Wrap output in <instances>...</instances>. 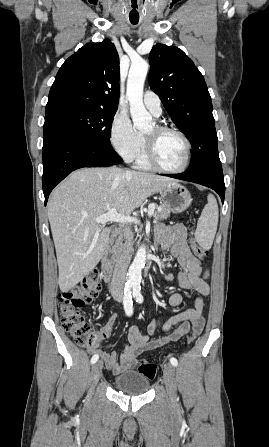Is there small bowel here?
Returning <instances> with one entry per match:
<instances>
[{"instance_id":"small-bowel-1","label":"small bowel","mask_w":269,"mask_h":447,"mask_svg":"<svg viewBox=\"0 0 269 447\" xmlns=\"http://www.w3.org/2000/svg\"><path fill=\"white\" fill-rule=\"evenodd\" d=\"M156 239L162 249L170 248L171 256L178 259L181 271L176 278L177 284L182 288L194 290V306L162 320L153 319L148 325V332L153 335L161 328L166 332L162 337L151 339L149 336L142 335L137 326H131L128 331V344L121 355L118 356L116 353H102L101 355L107 366L116 373L131 368L134 364L133 357L135 355L177 341L189 330L190 325L199 330L204 326L202 312L204 297L210 292L207 282L209 271L204 269L201 262L191 253L187 244L186 228L181 224L172 227L158 225ZM168 303L172 307H178L183 303V296L180 293H173L169 296ZM117 319L118 314L114 312L109 316L107 322L100 327L98 331L99 342H104L110 338ZM175 325L178 326L171 330ZM96 346L91 348V353L96 351Z\"/></svg>"}]
</instances>
